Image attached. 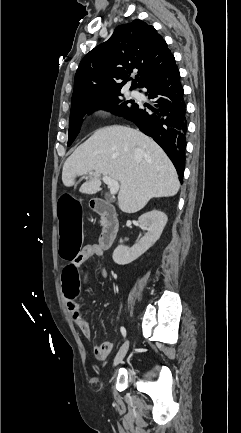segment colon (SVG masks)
<instances>
[{
    "label": "colon",
    "mask_w": 241,
    "mask_h": 433,
    "mask_svg": "<svg viewBox=\"0 0 241 433\" xmlns=\"http://www.w3.org/2000/svg\"><path fill=\"white\" fill-rule=\"evenodd\" d=\"M76 198V192H61L57 198L59 212L56 217L60 221L58 246L61 261H74L75 257H79V249L83 246L81 214H84L85 207L80 205ZM78 275L79 268L75 267L74 263H67L61 273L60 287L71 304L79 297Z\"/></svg>",
    "instance_id": "colon-1"
}]
</instances>
